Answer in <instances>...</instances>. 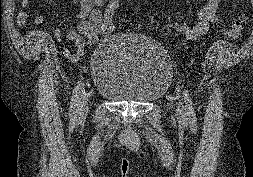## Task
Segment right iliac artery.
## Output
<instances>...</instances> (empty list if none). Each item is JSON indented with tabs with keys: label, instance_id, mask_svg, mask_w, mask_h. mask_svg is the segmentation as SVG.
<instances>
[{
	"label": "right iliac artery",
	"instance_id": "right-iliac-artery-1",
	"mask_svg": "<svg viewBox=\"0 0 253 177\" xmlns=\"http://www.w3.org/2000/svg\"><path fill=\"white\" fill-rule=\"evenodd\" d=\"M83 86L84 84L79 82L73 90L71 102H70V115L72 118H75L77 115L79 97L81 95V92L84 91Z\"/></svg>",
	"mask_w": 253,
	"mask_h": 177
}]
</instances>
